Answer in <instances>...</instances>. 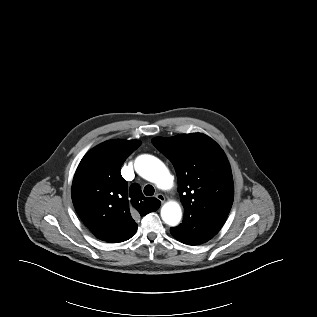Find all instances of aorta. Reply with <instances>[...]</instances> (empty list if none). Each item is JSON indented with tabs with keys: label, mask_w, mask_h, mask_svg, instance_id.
Segmentation results:
<instances>
[{
	"label": "aorta",
	"mask_w": 317,
	"mask_h": 317,
	"mask_svg": "<svg viewBox=\"0 0 317 317\" xmlns=\"http://www.w3.org/2000/svg\"><path fill=\"white\" fill-rule=\"evenodd\" d=\"M136 170L148 181L155 183L161 189H170L173 178L165 164L157 157L149 154L139 156L135 161ZM182 217V210L176 201H169L161 208L162 220L170 226H176Z\"/></svg>",
	"instance_id": "aorta-1"
}]
</instances>
